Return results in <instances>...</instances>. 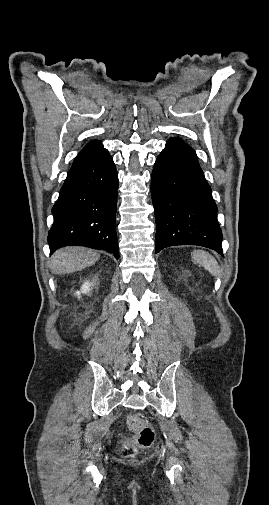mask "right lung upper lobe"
<instances>
[{
  "label": "right lung upper lobe",
  "instance_id": "right-lung-upper-lobe-1",
  "mask_svg": "<svg viewBox=\"0 0 269 505\" xmlns=\"http://www.w3.org/2000/svg\"><path fill=\"white\" fill-rule=\"evenodd\" d=\"M99 144H100V142H99V141H97V140L91 141L89 144H87V145L83 148V150H82L81 152H84V151H86V150H89V149H91V148H94V147H96V146H97V145H99Z\"/></svg>",
  "mask_w": 269,
  "mask_h": 505
}]
</instances>
